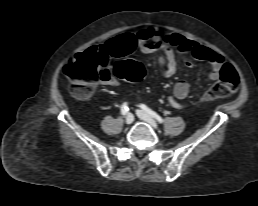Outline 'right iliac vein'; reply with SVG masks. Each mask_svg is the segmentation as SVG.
<instances>
[{
  "label": "right iliac vein",
  "instance_id": "63e3f726",
  "mask_svg": "<svg viewBox=\"0 0 258 206\" xmlns=\"http://www.w3.org/2000/svg\"><path fill=\"white\" fill-rule=\"evenodd\" d=\"M134 121V116L131 113H128L125 119L126 124H132Z\"/></svg>",
  "mask_w": 258,
  "mask_h": 206
}]
</instances>
